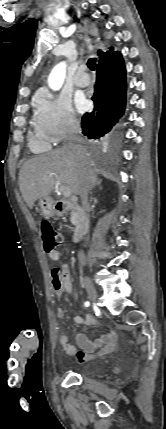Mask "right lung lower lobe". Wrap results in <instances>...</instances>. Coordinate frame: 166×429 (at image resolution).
I'll return each instance as SVG.
<instances>
[{"instance_id":"1","label":"right lung lower lobe","mask_w":166,"mask_h":429,"mask_svg":"<svg viewBox=\"0 0 166 429\" xmlns=\"http://www.w3.org/2000/svg\"><path fill=\"white\" fill-rule=\"evenodd\" d=\"M92 101L94 109L82 118V133L89 139L100 140L112 134L125 111L126 70L121 54L100 58Z\"/></svg>"}]
</instances>
